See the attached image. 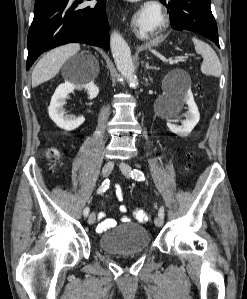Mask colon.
<instances>
[{
    "label": "colon",
    "instance_id": "colon-1",
    "mask_svg": "<svg viewBox=\"0 0 247 299\" xmlns=\"http://www.w3.org/2000/svg\"><path fill=\"white\" fill-rule=\"evenodd\" d=\"M48 157H49L50 160L53 161V160H55L58 157V152L55 149H51L48 152ZM115 193H117L119 195L123 194V192H122V190H121L120 187H118L116 189ZM134 216H135L136 220L138 222H140V223H146L149 220L148 214L144 210H142V209L135 210Z\"/></svg>",
    "mask_w": 247,
    "mask_h": 299
}]
</instances>
